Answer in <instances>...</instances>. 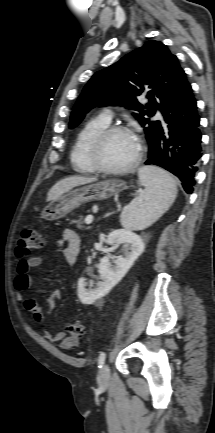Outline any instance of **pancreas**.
<instances>
[{
  "label": "pancreas",
  "mask_w": 215,
  "mask_h": 433,
  "mask_svg": "<svg viewBox=\"0 0 215 433\" xmlns=\"http://www.w3.org/2000/svg\"><path fill=\"white\" fill-rule=\"evenodd\" d=\"M74 222L76 223V228L80 230L87 229V227L83 225V217H80L78 220Z\"/></svg>",
  "instance_id": "obj_1"
}]
</instances>
